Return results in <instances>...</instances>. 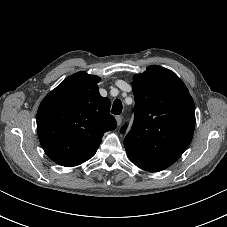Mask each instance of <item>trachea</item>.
Instances as JSON below:
<instances>
[{"label": "trachea", "instance_id": "obj_1", "mask_svg": "<svg viewBox=\"0 0 227 227\" xmlns=\"http://www.w3.org/2000/svg\"><path fill=\"white\" fill-rule=\"evenodd\" d=\"M121 112H122V102H121V100L116 99L113 102L111 113L114 115H119V114H121Z\"/></svg>", "mask_w": 227, "mask_h": 227}]
</instances>
